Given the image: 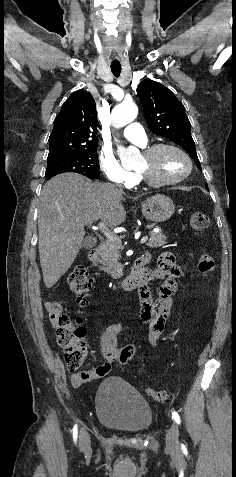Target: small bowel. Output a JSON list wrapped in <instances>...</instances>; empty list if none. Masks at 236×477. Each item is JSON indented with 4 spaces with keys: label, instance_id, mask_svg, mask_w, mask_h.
Here are the masks:
<instances>
[{
    "label": "small bowel",
    "instance_id": "small-bowel-1",
    "mask_svg": "<svg viewBox=\"0 0 236 477\" xmlns=\"http://www.w3.org/2000/svg\"><path fill=\"white\" fill-rule=\"evenodd\" d=\"M144 257H147L149 261L151 260L150 254ZM182 274V267L176 263L174 255L170 252H164L158 257L156 267L145 270L148 282L155 279L164 280L159 290V298L156 301L151 296L148 282L138 289L141 318L148 328V341L152 347L158 346L160 337L166 331V319L173 306L172 296L177 290L176 279L182 276ZM46 311L53 327L57 329L56 320L62 314V302L59 300L48 301L46 303ZM123 328V324L117 322L108 325L104 329L96 330V335L100 342L99 351L104 356L106 362L92 366L87 371L73 374L72 382L75 386L105 377L111 371V364L118 359L123 349L128 348L135 355L136 347L133 344L120 348V336Z\"/></svg>",
    "mask_w": 236,
    "mask_h": 477
}]
</instances>
